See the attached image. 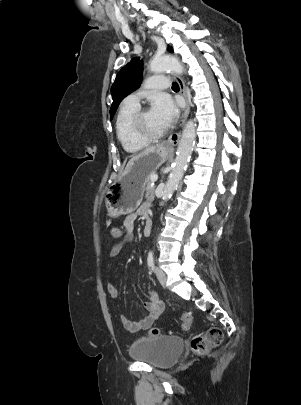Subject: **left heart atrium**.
<instances>
[{"label":"left heart atrium","mask_w":301,"mask_h":405,"mask_svg":"<svg viewBox=\"0 0 301 405\" xmlns=\"http://www.w3.org/2000/svg\"><path fill=\"white\" fill-rule=\"evenodd\" d=\"M151 111L166 126H169L176 119L179 109L168 94H158L152 101Z\"/></svg>","instance_id":"obj_1"}]
</instances>
